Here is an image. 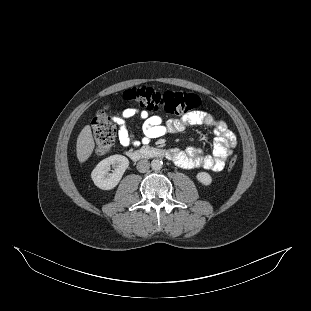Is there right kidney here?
Returning a JSON list of instances; mask_svg holds the SVG:
<instances>
[{
	"label": "right kidney",
	"instance_id": "obj_1",
	"mask_svg": "<svg viewBox=\"0 0 311 311\" xmlns=\"http://www.w3.org/2000/svg\"><path fill=\"white\" fill-rule=\"evenodd\" d=\"M128 165L129 160L125 156L111 155L95 167L92 173L93 181L101 189H111L119 182Z\"/></svg>",
	"mask_w": 311,
	"mask_h": 311
}]
</instances>
